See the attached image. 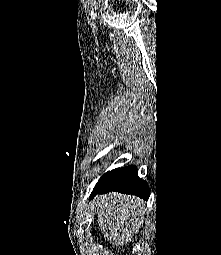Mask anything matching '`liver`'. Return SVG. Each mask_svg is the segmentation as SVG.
<instances>
[{"label":"liver","mask_w":221,"mask_h":255,"mask_svg":"<svg viewBox=\"0 0 221 255\" xmlns=\"http://www.w3.org/2000/svg\"><path fill=\"white\" fill-rule=\"evenodd\" d=\"M97 222L104 237L115 246L126 245L138 233L147 211L146 204L133 195L108 193L94 202Z\"/></svg>","instance_id":"1"}]
</instances>
